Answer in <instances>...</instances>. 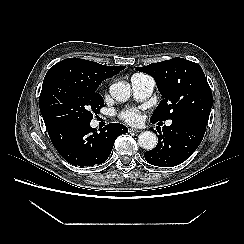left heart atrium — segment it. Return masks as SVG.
Masks as SVG:
<instances>
[{
  "instance_id": "1",
  "label": "left heart atrium",
  "mask_w": 244,
  "mask_h": 244,
  "mask_svg": "<svg viewBox=\"0 0 244 244\" xmlns=\"http://www.w3.org/2000/svg\"><path fill=\"white\" fill-rule=\"evenodd\" d=\"M120 118L128 124L137 125L142 120V115L135 108H128L120 113Z\"/></svg>"
}]
</instances>
